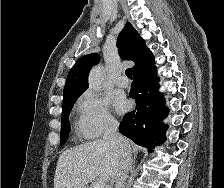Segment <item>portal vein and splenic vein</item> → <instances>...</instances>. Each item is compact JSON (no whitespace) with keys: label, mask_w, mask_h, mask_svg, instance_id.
Here are the masks:
<instances>
[{"label":"portal vein and splenic vein","mask_w":224,"mask_h":188,"mask_svg":"<svg viewBox=\"0 0 224 188\" xmlns=\"http://www.w3.org/2000/svg\"><path fill=\"white\" fill-rule=\"evenodd\" d=\"M93 188H108L107 184L103 181H97L93 183Z\"/></svg>","instance_id":"portal-vein-and-splenic-vein-1"}]
</instances>
